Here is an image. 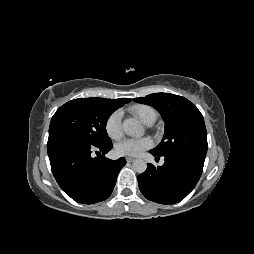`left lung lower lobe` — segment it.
I'll use <instances>...</instances> for the list:
<instances>
[{
    "label": "left lung lower lobe",
    "instance_id": "1",
    "mask_svg": "<svg viewBox=\"0 0 254 254\" xmlns=\"http://www.w3.org/2000/svg\"><path fill=\"white\" fill-rule=\"evenodd\" d=\"M150 153L160 157L152 150ZM163 157L165 163L162 166L147 164V170L138 176V185L148 200L160 204H175L196 186L203 171L206 153L183 150Z\"/></svg>",
    "mask_w": 254,
    "mask_h": 254
}]
</instances>
